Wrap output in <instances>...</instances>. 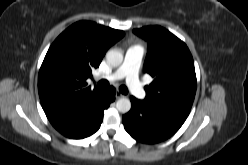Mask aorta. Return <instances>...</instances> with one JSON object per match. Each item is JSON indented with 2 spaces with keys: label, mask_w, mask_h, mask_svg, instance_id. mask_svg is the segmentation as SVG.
I'll use <instances>...</instances> for the list:
<instances>
[{
  "label": "aorta",
  "mask_w": 248,
  "mask_h": 165,
  "mask_svg": "<svg viewBox=\"0 0 248 165\" xmlns=\"http://www.w3.org/2000/svg\"><path fill=\"white\" fill-rule=\"evenodd\" d=\"M106 59L110 65L116 67L123 62V54L118 50L112 49L107 52ZM116 108L121 113H127L131 109V102L128 98H120L116 102Z\"/></svg>",
  "instance_id": "aorta-1"
}]
</instances>
